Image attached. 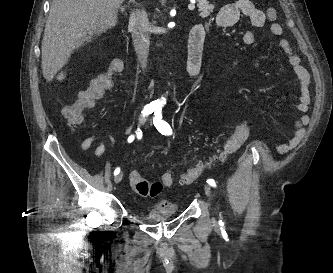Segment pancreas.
I'll return each mask as SVG.
<instances>
[{
    "mask_svg": "<svg viewBox=\"0 0 333 273\" xmlns=\"http://www.w3.org/2000/svg\"><path fill=\"white\" fill-rule=\"evenodd\" d=\"M198 10L202 18L208 17L214 9V5L210 4L207 0H197Z\"/></svg>",
    "mask_w": 333,
    "mask_h": 273,
    "instance_id": "1",
    "label": "pancreas"
}]
</instances>
